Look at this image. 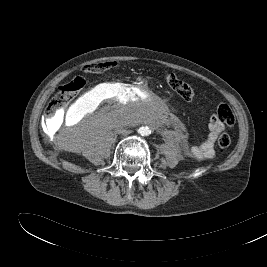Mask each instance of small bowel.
Segmentation results:
<instances>
[{
  "mask_svg": "<svg viewBox=\"0 0 267 267\" xmlns=\"http://www.w3.org/2000/svg\"><path fill=\"white\" fill-rule=\"evenodd\" d=\"M225 123L219 118L217 112H214L209 121V134L205 141L198 145H189L183 143L184 152L199 160L211 159L215 155L214 145L218 135L224 130Z\"/></svg>",
  "mask_w": 267,
  "mask_h": 267,
  "instance_id": "c3829d8e",
  "label": "small bowel"
}]
</instances>
